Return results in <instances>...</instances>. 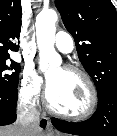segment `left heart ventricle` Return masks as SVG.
I'll use <instances>...</instances> for the list:
<instances>
[{"mask_svg": "<svg viewBox=\"0 0 117 136\" xmlns=\"http://www.w3.org/2000/svg\"><path fill=\"white\" fill-rule=\"evenodd\" d=\"M49 101L57 110L77 114L89 105L90 95L83 79L63 68H56L48 75Z\"/></svg>", "mask_w": 117, "mask_h": 136, "instance_id": "1", "label": "left heart ventricle"}]
</instances>
